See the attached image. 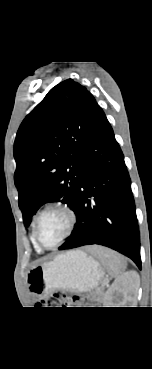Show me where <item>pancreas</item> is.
I'll return each instance as SVG.
<instances>
[{"label":"pancreas","instance_id":"cf45deb5","mask_svg":"<svg viewBox=\"0 0 152 369\" xmlns=\"http://www.w3.org/2000/svg\"><path fill=\"white\" fill-rule=\"evenodd\" d=\"M100 297H101V292L100 291H97V292L93 293V299L94 300H98V299H100Z\"/></svg>","mask_w":152,"mask_h":369}]
</instances>
